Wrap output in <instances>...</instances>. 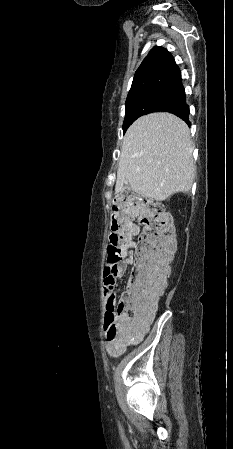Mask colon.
Here are the masks:
<instances>
[{
	"mask_svg": "<svg viewBox=\"0 0 233 449\" xmlns=\"http://www.w3.org/2000/svg\"><path fill=\"white\" fill-rule=\"evenodd\" d=\"M113 207L108 268L131 256L134 220L137 218L142 226L123 300L105 316L106 339L114 343L110 352L117 354L134 342L140 324L155 312L167 283L175 240L170 218L161 202L124 193L116 199Z\"/></svg>",
	"mask_w": 233,
	"mask_h": 449,
	"instance_id": "5ec220e1",
	"label": "colon"
}]
</instances>
